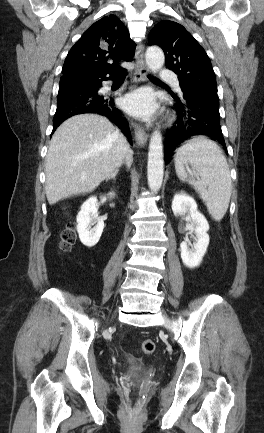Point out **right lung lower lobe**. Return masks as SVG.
<instances>
[{
    "mask_svg": "<svg viewBox=\"0 0 264 433\" xmlns=\"http://www.w3.org/2000/svg\"><path fill=\"white\" fill-rule=\"evenodd\" d=\"M123 73L124 71L120 74ZM113 77L105 76L99 79L78 81L60 86L52 133L64 120L71 116L82 113H98L115 123L131 142L128 123L125 118L120 117L121 112L115 107L114 99L111 96L98 93L102 81Z\"/></svg>",
    "mask_w": 264,
    "mask_h": 433,
    "instance_id": "98d812e1",
    "label": "right lung lower lobe"
}]
</instances>
